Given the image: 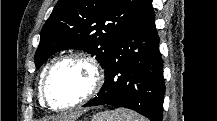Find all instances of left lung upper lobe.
<instances>
[{
	"label": "left lung upper lobe",
	"instance_id": "1",
	"mask_svg": "<svg viewBox=\"0 0 217 121\" xmlns=\"http://www.w3.org/2000/svg\"><path fill=\"white\" fill-rule=\"evenodd\" d=\"M141 0H59L41 31L36 68L51 55L80 49L105 67Z\"/></svg>",
	"mask_w": 217,
	"mask_h": 121
}]
</instances>
